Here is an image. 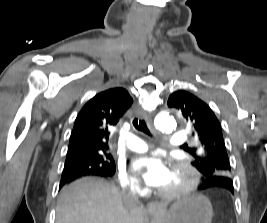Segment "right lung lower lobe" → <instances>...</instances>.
Wrapping results in <instances>:
<instances>
[{"instance_id":"98d812e1","label":"right lung lower lobe","mask_w":267,"mask_h":223,"mask_svg":"<svg viewBox=\"0 0 267 223\" xmlns=\"http://www.w3.org/2000/svg\"><path fill=\"white\" fill-rule=\"evenodd\" d=\"M89 175H94V176H102V177H108L109 175H104V174H97V173H93V174H85L82 172H77V171H71V172H64L62 173V177H61V182H60V188L70 182L75 180L76 178L82 177V176H89Z\"/></svg>"}]
</instances>
